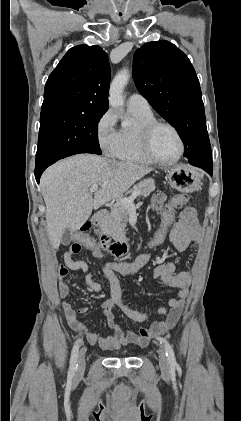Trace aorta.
<instances>
[{
    "label": "aorta",
    "instance_id": "obj_1",
    "mask_svg": "<svg viewBox=\"0 0 241 421\" xmlns=\"http://www.w3.org/2000/svg\"><path fill=\"white\" fill-rule=\"evenodd\" d=\"M129 72L126 69L121 70L114 77L109 90V104L114 108H118L123 105V89L126 86L129 79ZM125 123V122H124Z\"/></svg>",
    "mask_w": 241,
    "mask_h": 421
}]
</instances>
